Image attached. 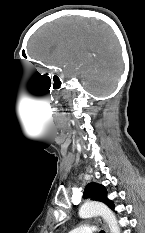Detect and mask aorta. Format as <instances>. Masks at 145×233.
Wrapping results in <instances>:
<instances>
[{
	"label": "aorta",
	"mask_w": 145,
	"mask_h": 233,
	"mask_svg": "<svg viewBox=\"0 0 145 233\" xmlns=\"http://www.w3.org/2000/svg\"><path fill=\"white\" fill-rule=\"evenodd\" d=\"M101 216L108 224L110 233H120V227L115 214L103 203L89 202L83 204L79 209L80 218H91Z\"/></svg>",
	"instance_id": "obj_1"
}]
</instances>
